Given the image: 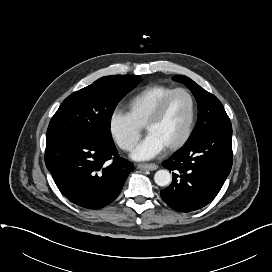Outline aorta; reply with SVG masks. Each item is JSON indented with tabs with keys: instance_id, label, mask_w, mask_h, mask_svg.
<instances>
[{
	"instance_id": "aorta-1",
	"label": "aorta",
	"mask_w": 272,
	"mask_h": 272,
	"mask_svg": "<svg viewBox=\"0 0 272 272\" xmlns=\"http://www.w3.org/2000/svg\"><path fill=\"white\" fill-rule=\"evenodd\" d=\"M171 180L172 176L168 170H158L154 175V181L158 186H167Z\"/></svg>"
}]
</instances>
